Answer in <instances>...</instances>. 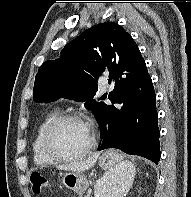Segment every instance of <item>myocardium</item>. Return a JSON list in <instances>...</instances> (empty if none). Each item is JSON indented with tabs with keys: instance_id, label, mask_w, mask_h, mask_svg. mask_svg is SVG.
Here are the masks:
<instances>
[{
	"instance_id": "obj_1",
	"label": "myocardium",
	"mask_w": 191,
	"mask_h": 197,
	"mask_svg": "<svg viewBox=\"0 0 191 197\" xmlns=\"http://www.w3.org/2000/svg\"><path fill=\"white\" fill-rule=\"evenodd\" d=\"M69 121H78L86 124V121L78 114L69 113L56 117L44 130L41 146L44 154L54 162H72L80 160L88 155L97 145V138L94 131L91 130V140L87 147L80 153L72 156L59 153L53 146L52 138L55 131L64 123Z\"/></svg>"
}]
</instances>
